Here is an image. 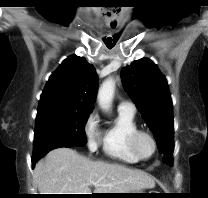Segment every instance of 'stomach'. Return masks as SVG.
<instances>
[{
	"label": "stomach",
	"mask_w": 208,
	"mask_h": 198,
	"mask_svg": "<svg viewBox=\"0 0 208 198\" xmlns=\"http://www.w3.org/2000/svg\"><path fill=\"white\" fill-rule=\"evenodd\" d=\"M141 193H144L142 192L141 190H136V191H132V192H128L127 194H124L123 198H139L141 197Z\"/></svg>",
	"instance_id": "0dacf381"
}]
</instances>
